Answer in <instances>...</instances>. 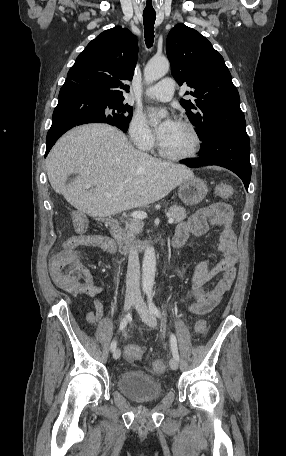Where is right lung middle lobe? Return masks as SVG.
I'll use <instances>...</instances> for the list:
<instances>
[{"mask_svg":"<svg viewBox=\"0 0 286 456\" xmlns=\"http://www.w3.org/2000/svg\"><path fill=\"white\" fill-rule=\"evenodd\" d=\"M133 108L123 101H112L96 97V103L89 107L87 118L90 123H108L126 132L131 121Z\"/></svg>","mask_w":286,"mask_h":456,"instance_id":"1","label":"right lung middle lobe"}]
</instances>
